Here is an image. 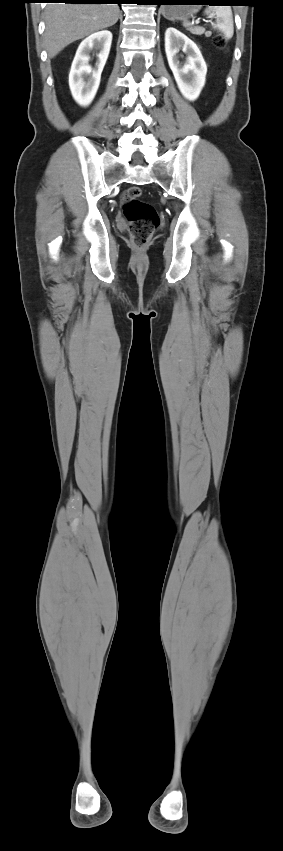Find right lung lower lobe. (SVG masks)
<instances>
[{
  "label": "right lung lower lobe",
  "instance_id": "obj_1",
  "mask_svg": "<svg viewBox=\"0 0 283 851\" xmlns=\"http://www.w3.org/2000/svg\"><path fill=\"white\" fill-rule=\"evenodd\" d=\"M52 3H72V4H121L127 0H46Z\"/></svg>",
  "mask_w": 283,
  "mask_h": 851
}]
</instances>
